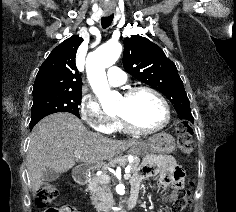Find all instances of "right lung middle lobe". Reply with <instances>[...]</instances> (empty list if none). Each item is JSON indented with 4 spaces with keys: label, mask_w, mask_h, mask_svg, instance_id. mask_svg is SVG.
<instances>
[{
    "label": "right lung middle lobe",
    "mask_w": 236,
    "mask_h": 212,
    "mask_svg": "<svg viewBox=\"0 0 236 212\" xmlns=\"http://www.w3.org/2000/svg\"><path fill=\"white\" fill-rule=\"evenodd\" d=\"M81 97V91L45 92L33 95L30 129L43 117L56 112H69L80 118L78 106Z\"/></svg>",
    "instance_id": "right-lung-middle-lobe-1"
}]
</instances>
